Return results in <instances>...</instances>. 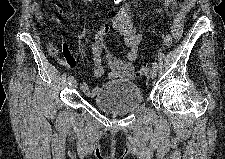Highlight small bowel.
<instances>
[{
	"label": "small bowel",
	"mask_w": 225,
	"mask_h": 159,
	"mask_svg": "<svg viewBox=\"0 0 225 159\" xmlns=\"http://www.w3.org/2000/svg\"><path fill=\"white\" fill-rule=\"evenodd\" d=\"M171 6L174 9V18L172 25V33L176 39H178L182 34L183 22L186 14L193 6V1L186 0L183 2L179 9L175 8V3L173 1L165 0L162 3L160 12L164 14L167 8ZM130 3H125L122 5L114 18L113 26L114 29L119 33L123 38L128 51L126 52V60L118 59L114 57L111 52L108 51L105 44V37L109 33L108 27H103L95 35V40L91 44V51L93 55V74L96 77H100L104 73L105 62L106 67L108 68V79H126L133 80L136 77V67L134 62L139 57V47L141 43V34L134 27L131 18H130ZM31 9L35 15V18L38 23H43L45 17L41 9L40 3L38 1L31 2ZM48 53L54 57L58 58L59 48L54 43L47 44ZM62 53L63 58H58V60L64 63L67 67L75 69L77 67V62L74 56L72 55L66 42L62 43ZM82 91L88 96H94L96 89L91 90L88 85L83 84L81 86Z\"/></svg>",
	"instance_id": "obj_1"
}]
</instances>
